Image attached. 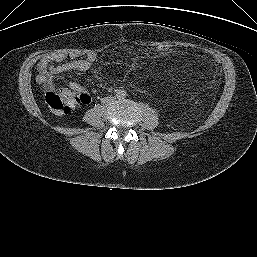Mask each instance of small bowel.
Returning <instances> with one entry per match:
<instances>
[{
  "instance_id": "obj_1",
  "label": "small bowel",
  "mask_w": 257,
  "mask_h": 257,
  "mask_svg": "<svg viewBox=\"0 0 257 257\" xmlns=\"http://www.w3.org/2000/svg\"><path fill=\"white\" fill-rule=\"evenodd\" d=\"M96 61L95 54L85 56L73 55L70 58L63 53H48L41 57L37 64L38 75L36 81L48 88L56 86L57 80L67 83L68 87L86 97V103L90 101V96L86 89L78 82L65 80L62 74L67 72H83L89 70Z\"/></svg>"
}]
</instances>
